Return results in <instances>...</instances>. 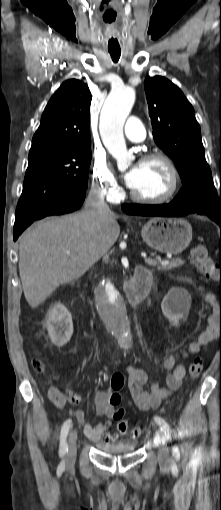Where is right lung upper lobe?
<instances>
[{
    "mask_svg": "<svg viewBox=\"0 0 221 510\" xmlns=\"http://www.w3.org/2000/svg\"><path fill=\"white\" fill-rule=\"evenodd\" d=\"M90 103L91 93L85 83L65 81L42 114L29 156L90 145Z\"/></svg>",
    "mask_w": 221,
    "mask_h": 510,
    "instance_id": "right-lung-upper-lobe-1",
    "label": "right lung upper lobe"
}]
</instances>
